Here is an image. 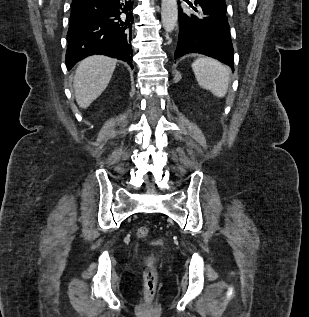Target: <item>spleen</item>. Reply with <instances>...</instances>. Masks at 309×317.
I'll return each instance as SVG.
<instances>
[{"mask_svg":"<svg viewBox=\"0 0 309 317\" xmlns=\"http://www.w3.org/2000/svg\"><path fill=\"white\" fill-rule=\"evenodd\" d=\"M198 84L216 97H225L230 74L228 68L215 59L201 57L192 63Z\"/></svg>","mask_w":309,"mask_h":317,"instance_id":"obj_1","label":"spleen"}]
</instances>
